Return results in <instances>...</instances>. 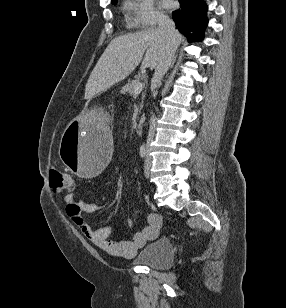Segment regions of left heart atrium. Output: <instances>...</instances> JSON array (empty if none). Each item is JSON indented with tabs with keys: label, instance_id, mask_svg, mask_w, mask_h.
<instances>
[{
	"label": "left heart atrium",
	"instance_id": "39dd6f15",
	"mask_svg": "<svg viewBox=\"0 0 286 308\" xmlns=\"http://www.w3.org/2000/svg\"><path fill=\"white\" fill-rule=\"evenodd\" d=\"M160 5L163 8L169 9L173 6L172 0H159Z\"/></svg>",
	"mask_w": 286,
	"mask_h": 308
}]
</instances>
